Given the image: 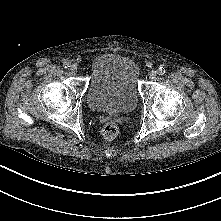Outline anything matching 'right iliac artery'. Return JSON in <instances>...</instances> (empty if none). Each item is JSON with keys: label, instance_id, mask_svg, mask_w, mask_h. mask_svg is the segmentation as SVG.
<instances>
[{"label": "right iliac artery", "instance_id": "right-iliac-artery-1", "mask_svg": "<svg viewBox=\"0 0 221 221\" xmlns=\"http://www.w3.org/2000/svg\"><path fill=\"white\" fill-rule=\"evenodd\" d=\"M63 66H64L65 68H69V67L71 66V62H70L69 60H64V61H63Z\"/></svg>", "mask_w": 221, "mask_h": 221}]
</instances>
